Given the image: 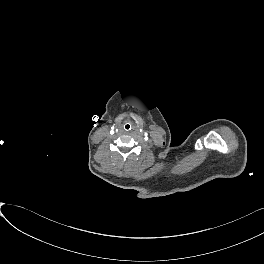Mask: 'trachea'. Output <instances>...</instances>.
Listing matches in <instances>:
<instances>
[{
  "label": "trachea",
  "mask_w": 264,
  "mask_h": 264,
  "mask_svg": "<svg viewBox=\"0 0 264 264\" xmlns=\"http://www.w3.org/2000/svg\"><path fill=\"white\" fill-rule=\"evenodd\" d=\"M123 129L124 131L129 132L132 129V124L130 122H125L123 124Z\"/></svg>",
  "instance_id": "trachea-1"
}]
</instances>
